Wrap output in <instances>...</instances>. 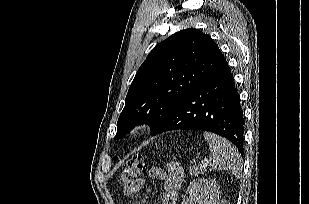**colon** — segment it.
<instances>
[{"instance_id":"colon-1","label":"colon","mask_w":309,"mask_h":204,"mask_svg":"<svg viewBox=\"0 0 309 204\" xmlns=\"http://www.w3.org/2000/svg\"><path fill=\"white\" fill-rule=\"evenodd\" d=\"M147 167L145 157L143 155H136L130 159L120 174V183L128 185L133 182Z\"/></svg>"}]
</instances>
